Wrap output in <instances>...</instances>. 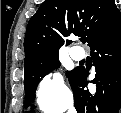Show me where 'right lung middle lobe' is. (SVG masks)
<instances>
[{
	"instance_id": "right-lung-middle-lobe-1",
	"label": "right lung middle lobe",
	"mask_w": 121,
	"mask_h": 113,
	"mask_svg": "<svg viewBox=\"0 0 121 113\" xmlns=\"http://www.w3.org/2000/svg\"><path fill=\"white\" fill-rule=\"evenodd\" d=\"M60 67L58 55L51 56L40 60L34 65L25 68L24 72V89L26 93V105L29 106L31 100L34 99L35 91L41 78H43L50 71ZM72 71L67 72L69 78Z\"/></svg>"
}]
</instances>
